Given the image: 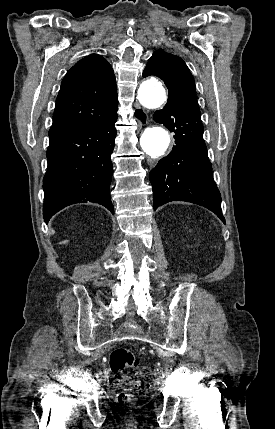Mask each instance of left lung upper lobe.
<instances>
[{
  "label": "left lung upper lobe",
  "instance_id": "obj_1",
  "mask_svg": "<svg viewBox=\"0 0 275 429\" xmlns=\"http://www.w3.org/2000/svg\"><path fill=\"white\" fill-rule=\"evenodd\" d=\"M155 75L166 84L169 99H184L198 106L195 82L185 62L178 56L157 50L148 60L143 77Z\"/></svg>",
  "mask_w": 275,
  "mask_h": 429
}]
</instances>
